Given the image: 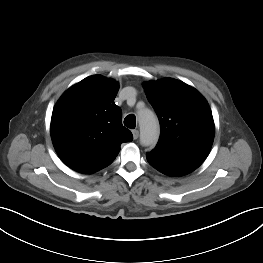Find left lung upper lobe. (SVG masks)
<instances>
[{
	"mask_svg": "<svg viewBox=\"0 0 263 263\" xmlns=\"http://www.w3.org/2000/svg\"><path fill=\"white\" fill-rule=\"evenodd\" d=\"M144 87L161 128L153 151L171 158L204 161L215 131L205 98L195 88L172 78L146 82Z\"/></svg>",
	"mask_w": 263,
	"mask_h": 263,
	"instance_id": "obj_1",
	"label": "left lung upper lobe"
}]
</instances>
